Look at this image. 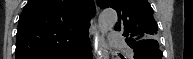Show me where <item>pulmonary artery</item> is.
Listing matches in <instances>:
<instances>
[{
  "label": "pulmonary artery",
  "instance_id": "pulmonary-artery-1",
  "mask_svg": "<svg viewBox=\"0 0 193 59\" xmlns=\"http://www.w3.org/2000/svg\"><path fill=\"white\" fill-rule=\"evenodd\" d=\"M109 43L111 46L113 45L121 46L123 44V40L116 34H110ZM126 54H130V51H126Z\"/></svg>",
  "mask_w": 193,
  "mask_h": 59
}]
</instances>
